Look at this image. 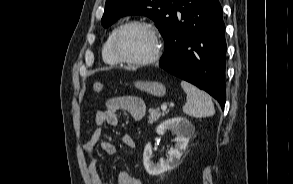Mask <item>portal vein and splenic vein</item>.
<instances>
[{
  "label": "portal vein and splenic vein",
  "instance_id": "portal-vein-and-splenic-vein-1",
  "mask_svg": "<svg viewBox=\"0 0 293 184\" xmlns=\"http://www.w3.org/2000/svg\"><path fill=\"white\" fill-rule=\"evenodd\" d=\"M161 109H162L163 111H166L167 106H166V105H161Z\"/></svg>",
  "mask_w": 293,
  "mask_h": 184
}]
</instances>
